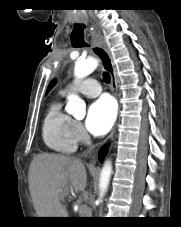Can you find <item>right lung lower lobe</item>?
Returning a JSON list of instances; mask_svg holds the SVG:
<instances>
[{
    "mask_svg": "<svg viewBox=\"0 0 181 227\" xmlns=\"http://www.w3.org/2000/svg\"><path fill=\"white\" fill-rule=\"evenodd\" d=\"M105 153H106V149L103 148V149L101 150V152H100V158H101V159L104 157Z\"/></svg>",
    "mask_w": 181,
    "mask_h": 227,
    "instance_id": "obj_1",
    "label": "right lung lower lobe"
}]
</instances>
